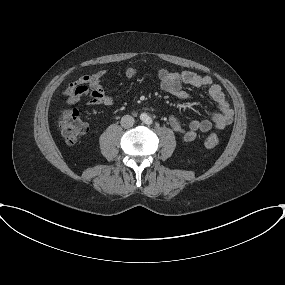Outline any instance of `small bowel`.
Returning a JSON list of instances; mask_svg holds the SVG:
<instances>
[{
    "instance_id": "small-bowel-1",
    "label": "small bowel",
    "mask_w": 285,
    "mask_h": 285,
    "mask_svg": "<svg viewBox=\"0 0 285 285\" xmlns=\"http://www.w3.org/2000/svg\"><path fill=\"white\" fill-rule=\"evenodd\" d=\"M137 73L138 71L134 67H127L125 70L126 76L130 78L136 76ZM105 74L106 70L102 69L93 74L83 75L71 82L63 91L66 102L74 104L81 98H88V105L90 106H111L113 99L105 93L101 84ZM155 76L163 91L179 99L189 98V93L184 89V85H190L195 88L206 89L211 99L216 103L218 111L211 116V119L193 120L188 128H184L176 116L170 117L171 127L181 135L184 142H192L199 134L206 133L212 128L222 130L232 123L233 110L231 105L221 87L210 76H201L192 71L172 72L166 69H158Z\"/></svg>"
}]
</instances>
